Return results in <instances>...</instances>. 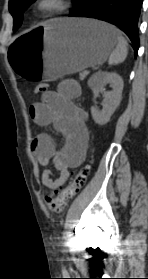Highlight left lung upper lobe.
<instances>
[{
	"label": "left lung upper lobe",
	"instance_id": "5c2ea615",
	"mask_svg": "<svg viewBox=\"0 0 148 279\" xmlns=\"http://www.w3.org/2000/svg\"><path fill=\"white\" fill-rule=\"evenodd\" d=\"M35 0H9V11L14 18L13 30H16L22 23V13ZM76 4L79 0H72Z\"/></svg>",
	"mask_w": 148,
	"mask_h": 279
}]
</instances>
